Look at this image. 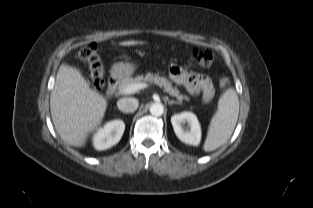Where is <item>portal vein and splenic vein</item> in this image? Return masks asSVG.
Masks as SVG:
<instances>
[{"instance_id": "1", "label": "portal vein and splenic vein", "mask_w": 313, "mask_h": 208, "mask_svg": "<svg viewBox=\"0 0 313 208\" xmlns=\"http://www.w3.org/2000/svg\"><path fill=\"white\" fill-rule=\"evenodd\" d=\"M146 83L130 84L123 89V94H133L141 89L146 88Z\"/></svg>"}]
</instances>
